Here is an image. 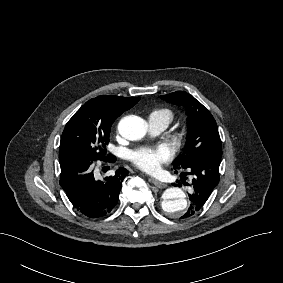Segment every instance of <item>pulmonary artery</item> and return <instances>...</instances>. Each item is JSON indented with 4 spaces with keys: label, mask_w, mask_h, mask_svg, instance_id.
Returning a JSON list of instances; mask_svg holds the SVG:
<instances>
[{
    "label": "pulmonary artery",
    "mask_w": 283,
    "mask_h": 283,
    "mask_svg": "<svg viewBox=\"0 0 283 283\" xmlns=\"http://www.w3.org/2000/svg\"><path fill=\"white\" fill-rule=\"evenodd\" d=\"M148 124L150 132L157 134L162 132L168 126V121L156 115H150L148 118Z\"/></svg>",
    "instance_id": "obj_1"
}]
</instances>
